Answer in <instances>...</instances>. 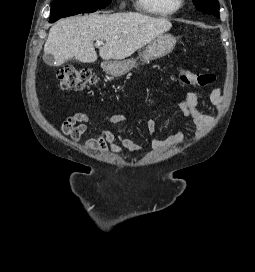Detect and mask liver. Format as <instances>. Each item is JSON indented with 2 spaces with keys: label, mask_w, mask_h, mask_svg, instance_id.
Wrapping results in <instances>:
<instances>
[{
  "label": "liver",
  "mask_w": 255,
  "mask_h": 272,
  "mask_svg": "<svg viewBox=\"0 0 255 272\" xmlns=\"http://www.w3.org/2000/svg\"><path fill=\"white\" fill-rule=\"evenodd\" d=\"M171 27L166 18L135 12L69 17L51 27L44 54L52 55L56 66L73 57L93 63L97 60L93 42L102 40L105 44L99 55L103 60H123Z\"/></svg>",
  "instance_id": "liver-1"
}]
</instances>
